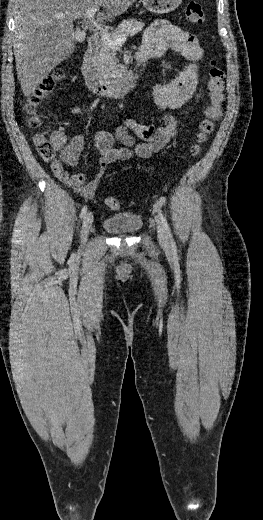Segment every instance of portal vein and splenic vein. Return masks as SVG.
Returning a JSON list of instances; mask_svg holds the SVG:
<instances>
[{
    "instance_id": "18ae733b",
    "label": "portal vein and splenic vein",
    "mask_w": 263,
    "mask_h": 520,
    "mask_svg": "<svg viewBox=\"0 0 263 520\" xmlns=\"http://www.w3.org/2000/svg\"><path fill=\"white\" fill-rule=\"evenodd\" d=\"M96 12H97L96 8H91L83 16H84V18H87L89 23L95 28V31L100 33L102 40H104L105 43H107V45H109L112 48H118V47L122 46V44L126 41L127 37H125V36L120 37V38L111 37V35L108 33V31L105 30L101 26V24L95 20L94 15ZM59 17L63 18L64 16L61 15Z\"/></svg>"
}]
</instances>
